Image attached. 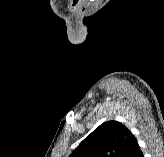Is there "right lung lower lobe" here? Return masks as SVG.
I'll use <instances>...</instances> for the list:
<instances>
[{
	"instance_id": "1",
	"label": "right lung lower lobe",
	"mask_w": 164,
	"mask_h": 157,
	"mask_svg": "<svg viewBox=\"0 0 164 157\" xmlns=\"http://www.w3.org/2000/svg\"><path fill=\"white\" fill-rule=\"evenodd\" d=\"M126 157H143V153L138 145V143H136L132 149L130 150V152L127 154Z\"/></svg>"
}]
</instances>
